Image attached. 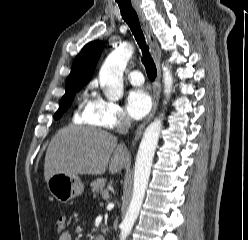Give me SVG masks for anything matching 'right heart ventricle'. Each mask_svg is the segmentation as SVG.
I'll return each instance as SVG.
<instances>
[{
  "mask_svg": "<svg viewBox=\"0 0 248 240\" xmlns=\"http://www.w3.org/2000/svg\"><path fill=\"white\" fill-rule=\"evenodd\" d=\"M88 103H89V102H88ZM88 103H87L85 109L87 108ZM85 109H84V111L81 113V116L79 117V121H80L81 123H86V122H87L86 119H85V116H84Z\"/></svg>",
  "mask_w": 248,
  "mask_h": 240,
  "instance_id": "e07e8e85",
  "label": "right heart ventricle"
}]
</instances>
